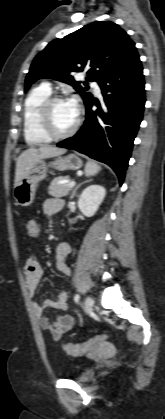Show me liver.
<instances>
[{"instance_id":"liver-1","label":"liver","mask_w":165,"mask_h":419,"mask_svg":"<svg viewBox=\"0 0 165 419\" xmlns=\"http://www.w3.org/2000/svg\"><path fill=\"white\" fill-rule=\"evenodd\" d=\"M66 152L64 148L51 145H41L38 148L30 147L23 151L16 162L14 187L26 176L29 171L41 160L62 155Z\"/></svg>"}]
</instances>
